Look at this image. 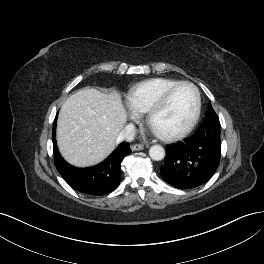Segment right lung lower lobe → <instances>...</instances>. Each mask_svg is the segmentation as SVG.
Returning <instances> with one entry per match:
<instances>
[{
	"label": "right lung lower lobe",
	"mask_w": 264,
	"mask_h": 264,
	"mask_svg": "<svg viewBox=\"0 0 264 264\" xmlns=\"http://www.w3.org/2000/svg\"><path fill=\"white\" fill-rule=\"evenodd\" d=\"M56 119L52 141L55 166L60 175L71 187L84 194L101 196L113 191L120 184L121 162L131 153L129 144L122 142L106 160L94 167L76 168L68 164L59 153L55 139Z\"/></svg>",
	"instance_id": "98d812e1"
}]
</instances>
